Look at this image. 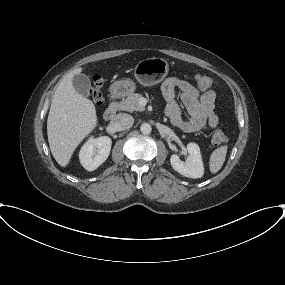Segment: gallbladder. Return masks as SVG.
Instances as JSON below:
<instances>
[{"mask_svg": "<svg viewBox=\"0 0 285 285\" xmlns=\"http://www.w3.org/2000/svg\"><path fill=\"white\" fill-rule=\"evenodd\" d=\"M72 82L75 90L79 94L85 97H88L90 95L89 91L91 88V82L88 76L85 74H76L74 75Z\"/></svg>", "mask_w": 285, "mask_h": 285, "instance_id": "obj_1", "label": "gallbladder"}]
</instances>
